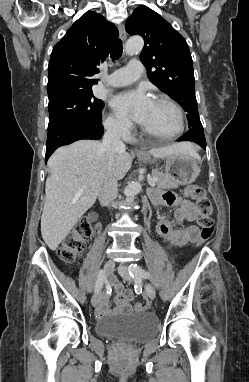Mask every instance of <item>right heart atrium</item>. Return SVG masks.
Returning <instances> with one entry per match:
<instances>
[{
    "label": "right heart atrium",
    "instance_id": "obj_1",
    "mask_svg": "<svg viewBox=\"0 0 249 382\" xmlns=\"http://www.w3.org/2000/svg\"><path fill=\"white\" fill-rule=\"evenodd\" d=\"M104 124L110 133L122 138H129L133 129L132 123L127 118L115 113H110Z\"/></svg>",
    "mask_w": 249,
    "mask_h": 382
}]
</instances>
